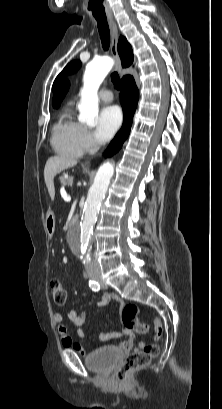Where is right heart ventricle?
<instances>
[{
	"mask_svg": "<svg viewBox=\"0 0 222 409\" xmlns=\"http://www.w3.org/2000/svg\"><path fill=\"white\" fill-rule=\"evenodd\" d=\"M82 125L76 121L71 109H65L52 130V145L62 156L79 158L86 151L82 140Z\"/></svg>",
	"mask_w": 222,
	"mask_h": 409,
	"instance_id": "1",
	"label": "right heart ventricle"
}]
</instances>
